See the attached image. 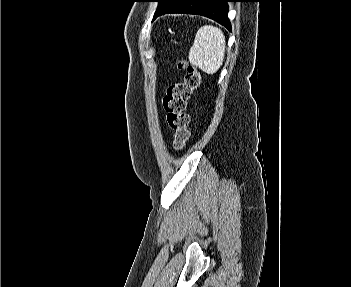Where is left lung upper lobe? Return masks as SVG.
Here are the masks:
<instances>
[{
	"instance_id": "left-lung-upper-lobe-1",
	"label": "left lung upper lobe",
	"mask_w": 351,
	"mask_h": 287,
	"mask_svg": "<svg viewBox=\"0 0 351 287\" xmlns=\"http://www.w3.org/2000/svg\"><path fill=\"white\" fill-rule=\"evenodd\" d=\"M154 1L160 3L156 12H155V14H156L157 12H159L160 10L165 8L172 0H154Z\"/></svg>"
}]
</instances>
